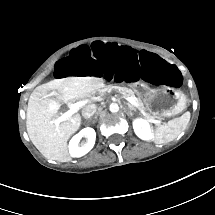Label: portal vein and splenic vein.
Returning <instances> with one entry per match:
<instances>
[{
    "label": "portal vein and splenic vein",
    "mask_w": 215,
    "mask_h": 215,
    "mask_svg": "<svg viewBox=\"0 0 215 215\" xmlns=\"http://www.w3.org/2000/svg\"><path fill=\"white\" fill-rule=\"evenodd\" d=\"M126 100L130 103H134L135 101V99H133L132 97H127ZM82 105L83 104L81 102L71 104L68 111H66L61 117L54 118L52 122H54L55 125L58 126L62 121L70 119L71 116L76 113Z\"/></svg>",
    "instance_id": "18ae733b"
}]
</instances>
